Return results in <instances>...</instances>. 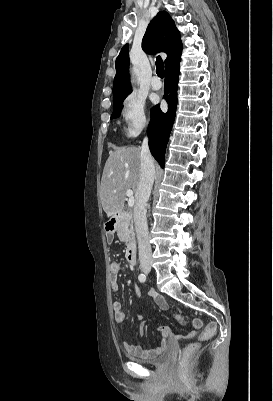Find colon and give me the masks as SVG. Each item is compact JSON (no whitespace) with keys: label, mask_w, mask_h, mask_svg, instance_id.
Here are the masks:
<instances>
[{"label":"colon","mask_w":273,"mask_h":401,"mask_svg":"<svg viewBox=\"0 0 273 401\" xmlns=\"http://www.w3.org/2000/svg\"><path fill=\"white\" fill-rule=\"evenodd\" d=\"M216 322L211 320L207 329L203 331L201 340L203 342H210L216 330ZM196 327H200L198 323ZM203 330V327H200ZM202 352V345L200 340H188L187 344L184 345V349L180 351V362L177 365L176 372L180 381H192L194 375L191 368V358H198L199 353Z\"/></svg>","instance_id":"5ec220e1"}]
</instances>
